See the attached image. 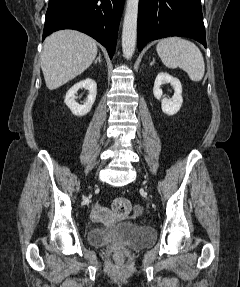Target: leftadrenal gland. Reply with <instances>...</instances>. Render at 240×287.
I'll return each mask as SVG.
<instances>
[{
    "label": "left adrenal gland",
    "instance_id": "obj_1",
    "mask_svg": "<svg viewBox=\"0 0 240 287\" xmlns=\"http://www.w3.org/2000/svg\"><path fill=\"white\" fill-rule=\"evenodd\" d=\"M155 63V58L152 59V62L150 63V65H153Z\"/></svg>",
    "mask_w": 240,
    "mask_h": 287
}]
</instances>
